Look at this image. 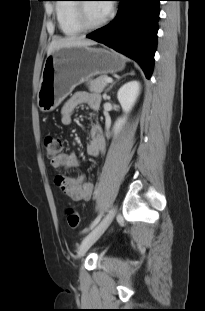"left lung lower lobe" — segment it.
<instances>
[{
  "mask_svg": "<svg viewBox=\"0 0 205 311\" xmlns=\"http://www.w3.org/2000/svg\"><path fill=\"white\" fill-rule=\"evenodd\" d=\"M119 1L117 16L87 37L137 61L149 79L154 65L161 0Z\"/></svg>",
  "mask_w": 205,
  "mask_h": 311,
  "instance_id": "0a47b994",
  "label": "left lung lower lobe"
}]
</instances>
